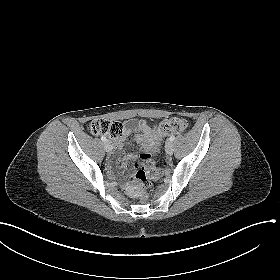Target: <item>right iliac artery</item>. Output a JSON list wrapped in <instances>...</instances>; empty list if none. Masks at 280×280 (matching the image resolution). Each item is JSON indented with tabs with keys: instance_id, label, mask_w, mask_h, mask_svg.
Here are the masks:
<instances>
[{
	"instance_id": "obj_1",
	"label": "right iliac artery",
	"mask_w": 280,
	"mask_h": 280,
	"mask_svg": "<svg viewBox=\"0 0 280 280\" xmlns=\"http://www.w3.org/2000/svg\"><path fill=\"white\" fill-rule=\"evenodd\" d=\"M101 140H102L103 142H105L107 139H106L105 136H102V137H101Z\"/></svg>"
}]
</instances>
